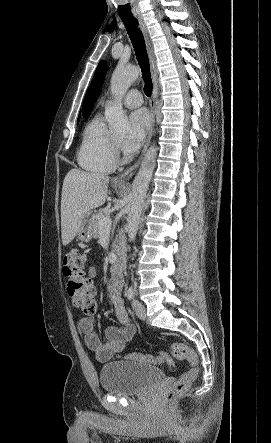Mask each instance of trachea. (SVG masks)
<instances>
[{
    "label": "trachea",
    "instance_id": "trachea-1",
    "mask_svg": "<svg viewBox=\"0 0 271 443\" xmlns=\"http://www.w3.org/2000/svg\"><path fill=\"white\" fill-rule=\"evenodd\" d=\"M132 0H120L118 16L122 19L129 37L131 38L137 61L142 71L143 80L145 82L144 92L147 97H150L152 93V82L150 75L149 59L147 57L144 38L141 30L138 28V21L131 11Z\"/></svg>",
    "mask_w": 271,
    "mask_h": 443
}]
</instances>
